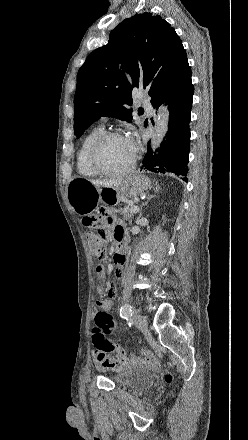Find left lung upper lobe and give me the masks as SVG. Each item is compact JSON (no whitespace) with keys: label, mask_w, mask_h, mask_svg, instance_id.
Listing matches in <instances>:
<instances>
[{"label":"left lung upper lobe","mask_w":248,"mask_h":440,"mask_svg":"<svg viewBox=\"0 0 248 440\" xmlns=\"http://www.w3.org/2000/svg\"><path fill=\"white\" fill-rule=\"evenodd\" d=\"M190 79L181 39L168 22L148 12L125 19L78 71L74 134L79 138L101 116L131 121L135 87L146 89L153 105Z\"/></svg>","instance_id":"1"}]
</instances>
